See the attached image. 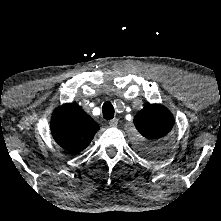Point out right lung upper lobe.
Segmentation results:
<instances>
[{"label":"right lung upper lobe","mask_w":221,"mask_h":221,"mask_svg":"<svg viewBox=\"0 0 221 221\" xmlns=\"http://www.w3.org/2000/svg\"><path fill=\"white\" fill-rule=\"evenodd\" d=\"M98 130L99 125L77 103L62 105L51 117L53 138L73 154L88 147Z\"/></svg>","instance_id":"right-lung-upper-lobe-1"}]
</instances>
